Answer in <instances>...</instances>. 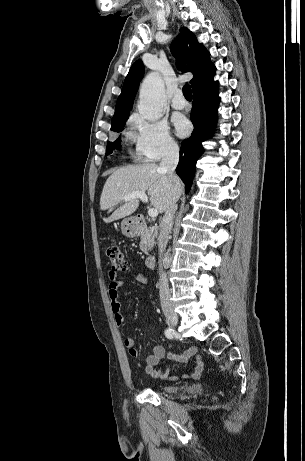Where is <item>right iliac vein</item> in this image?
<instances>
[{
    "mask_svg": "<svg viewBox=\"0 0 305 461\" xmlns=\"http://www.w3.org/2000/svg\"><path fill=\"white\" fill-rule=\"evenodd\" d=\"M164 313H165L167 322H168L171 326H177V324H178V316H177V314L174 312V310H173L172 308H166V309L164 310Z\"/></svg>",
    "mask_w": 305,
    "mask_h": 461,
    "instance_id": "obj_1",
    "label": "right iliac vein"
}]
</instances>
